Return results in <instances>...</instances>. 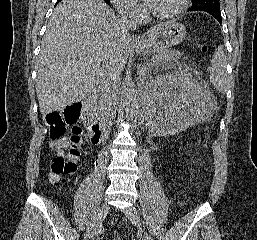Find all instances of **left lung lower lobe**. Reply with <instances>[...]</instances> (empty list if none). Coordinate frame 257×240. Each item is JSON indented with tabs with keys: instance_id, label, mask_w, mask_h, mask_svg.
<instances>
[{
	"instance_id": "1",
	"label": "left lung lower lobe",
	"mask_w": 257,
	"mask_h": 240,
	"mask_svg": "<svg viewBox=\"0 0 257 240\" xmlns=\"http://www.w3.org/2000/svg\"><path fill=\"white\" fill-rule=\"evenodd\" d=\"M189 11H194V10H189ZM200 11H204V12H207V13L211 14L214 18L217 19V21H218L219 23H222V18H221L220 10L204 9V10H200Z\"/></svg>"
}]
</instances>
